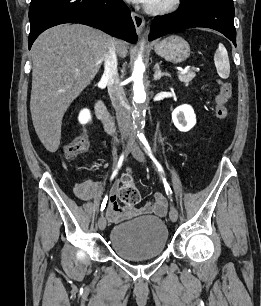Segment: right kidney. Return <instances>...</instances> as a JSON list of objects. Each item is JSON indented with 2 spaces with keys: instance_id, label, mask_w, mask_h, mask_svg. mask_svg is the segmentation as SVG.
<instances>
[{
  "instance_id": "ca27d5eb",
  "label": "right kidney",
  "mask_w": 261,
  "mask_h": 306,
  "mask_svg": "<svg viewBox=\"0 0 261 306\" xmlns=\"http://www.w3.org/2000/svg\"><path fill=\"white\" fill-rule=\"evenodd\" d=\"M91 120V114L88 109H84L79 114V122L81 124H86Z\"/></svg>"
}]
</instances>
